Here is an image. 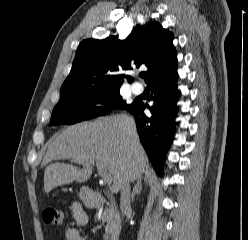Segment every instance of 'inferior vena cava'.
<instances>
[{
	"label": "inferior vena cava",
	"mask_w": 248,
	"mask_h": 240,
	"mask_svg": "<svg viewBox=\"0 0 248 240\" xmlns=\"http://www.w3.org/2000/svg\"><path fill=\"white\" fill-rule=\"evenodd\" d=\"M130 184L126 181L121 188L120 209L122 217H124L130 210Z\"/></svg>",
	"instance_id": "inferior-vena-cava-1"
}]
</instances>
